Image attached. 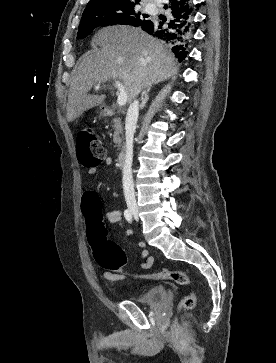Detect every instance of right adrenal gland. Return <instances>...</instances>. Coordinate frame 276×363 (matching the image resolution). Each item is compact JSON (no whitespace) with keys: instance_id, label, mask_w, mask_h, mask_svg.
<instances>
[{"instance_id":"1","label":"right adrenal gland","mask_w":276,"mask_h":363,"mask_svg":"<svg viewBox=\"0 0 276 363\" xmlns=\"http://www.w3.org/2000/svg\"><path fill=\"white\" fill-rule=\"evenodd\" d=\"M149 91H150V89H147V90H145V91L142 93L143 97H142V103H141V105H140V109H144V107H145V105H146V103H147V101H148V99H149V96H148Z\"/></svg>"}]
</instances>
